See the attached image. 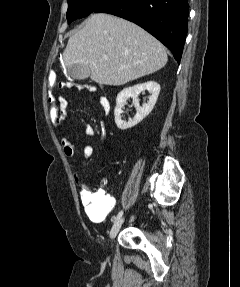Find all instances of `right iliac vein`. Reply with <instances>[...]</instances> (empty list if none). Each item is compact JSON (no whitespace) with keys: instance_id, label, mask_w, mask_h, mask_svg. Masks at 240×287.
<instances>
[{"instance_id":"63e3f726","label":"right iliac vein","mask_w":240,"mask_h":287,"mask_svg":"<svg viewBox=\"0 0 240 287\" xmlns=\"http://www.w3.org/2000/svg\"><path fill=\"white\" fill-rule=\"evenodd\" d=\"M123 222H124V218H120L117 221H115V223L113 224V226L110 230V234H109V237L111 240H113L116 237V235L118 234Z\"/></svg>"}]
</instances>
